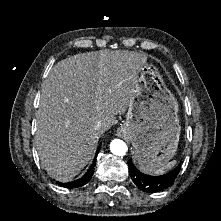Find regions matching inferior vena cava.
Here are the masks:
<instances>
[{
	"instance_id": "1",
	"label": "inferior vena cava",
	"mask_w": 221,
	"mask_h": 221,
	"mask_svg": "<svg viewBox=\"0 0 221 221\" xmlns=\"http://www.w3.org/2000/svg\"><path fill=\"white\" fill-rule=\"evenodd\" d=\"M103 126V123L101 121H98L96 124H95V129L96 130H100Z\"/></svg>"
}]
</instances>
